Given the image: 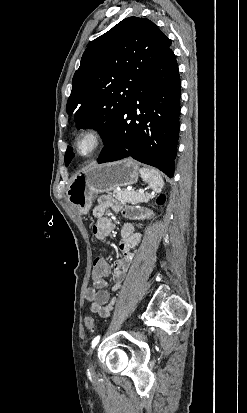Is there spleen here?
Segmentation results:
<instances>
[{
	"mask_svg": "<svg viewBox=\"0 0 247 413\" xmlns=\"http://www.w3.org/2000/svg\"><path fill=\"white\" fill-rule=\"evenodd\" d=\"M140 174L143 180L149 182V186H151L155 192H161L164 182L158 170H155V168H140Z\"/></svg>",
	"mask_w": 247,
	"mask_h": 413,
	"instance_id": "obj_1",
	"label": "spleen"
}]
</instances>
